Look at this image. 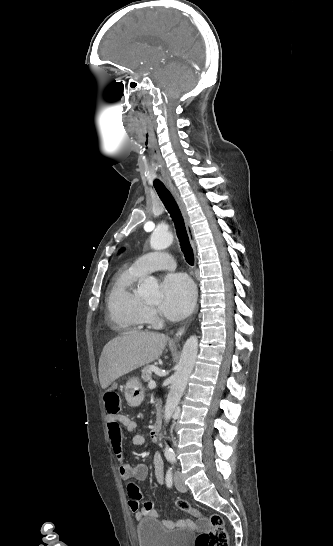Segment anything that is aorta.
<instances>
[{"instance_id": "762f6f07", "label": "aorta", "mask_w": 333, "mask_h": 546, "mask_svg": "<svg viewBox=\"0 0 333 546\" xmlns=\"http://www.w3.org/2000/svg\"><path fill=\"white\" fill-rule=\"evenodd\" d=\"M173 242V235L171 232L165 229L156 228L150 237V246L154 250H163L168 248ZM144 287L146 293L152 297H158V284L157 280L153 277H147L144 281ZM198 352V339L196 336H191L187 339L183 346L179 363L176 367V371L171 379V387L167 396L164 420L168 423L176 410L180 398L187 386L189 377L193 371L196 357ZM165 454H170L172 449L166 446L164 449Z\"/></svg>"}]
</instances>
